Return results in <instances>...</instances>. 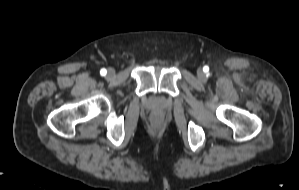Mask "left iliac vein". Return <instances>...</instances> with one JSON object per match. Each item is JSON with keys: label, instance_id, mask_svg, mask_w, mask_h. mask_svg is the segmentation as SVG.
<instances>
[{"label": "left iliac vein", "instance_id": "4c4485c4", "mask_svg": "<svg viewBox=\"0 0 299 190\" xmlns=\"http://www.w3.org/2000/svg\"><path fill=\"white\" fill-rule=\"evenodd\" d=\"M197 76L200 80H204L205 79V73L203 72V70L199 69L197 71Z\"/></svg>", "mask_w": 299, "mask_h": 190}]
</instances>
